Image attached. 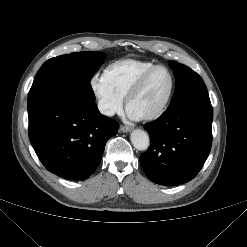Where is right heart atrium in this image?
Returning <instances> with one entry per match:
<instances>
[{
    "instance_id": "1",
    "label": "right heart atrium",
    "mask_w": 247,
    "mask_h": 247,
    "mask_svg": "<svg viewBox=\"0 0 247 247\" xmlns=\"http://www.w3.org/2000/svg\"><path fill=\"white\" fill-rule=\"evenodd\" d=\"M91 88L96 96L100 112L111 117L123 108V96L115 88L106 73L95 74L90 80Z\"/></svg>"
}]
</instances>
